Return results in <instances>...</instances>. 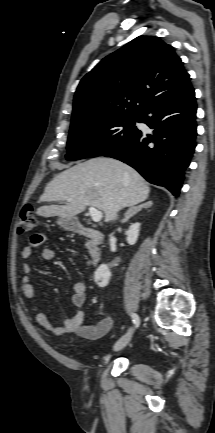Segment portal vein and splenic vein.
<instances>
[{"label": "portal vein and splenic vein", "mask_w": 215, "mask_h": 433, "mask_svg": "<svg viewBox=\"0 0 215 433\" xmlns=\"http://www.w3.org/2000/svg\"><path fill=\"white\" fill-rule=\"evenodd\" d=\"M67 201L70 202L71 199H67ZM89 214H90L93 222H100L102 217H103L102 212L97 210L95 207H92V206L89 207Z\"/></svg>", "instance_id": "obj_1"}]
</instances>
